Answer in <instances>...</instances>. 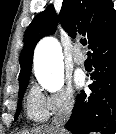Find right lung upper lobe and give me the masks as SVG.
<instances>
[{
    "mask_svg": "<svg viewBox=\"0 0 116 134\" xmlns=\"http://www.w3.org/2000/svg\"><path fill=\"white\" fill-rule=\"evenodd\" d=\"M58 21L71 38L77 34L86 36L90 49L116 32V14L111 0H63L59 16L53 5L48 6L26 29L20 55V88L29 82L36 44L55 32Z\"/></svg>",
    "mask_w": 116,
    "mask_h": 134,
    "instance_id": "obj_1",
    "label": "right lung upper lobe"
}]
</instances>
